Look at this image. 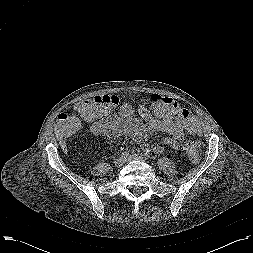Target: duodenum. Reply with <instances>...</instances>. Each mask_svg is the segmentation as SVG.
Here are the masks:
<instances>
[{"mask_svg": "<svg viewBox=\"0 0 253 253\" xmlns=\"http://www.w3.org/2000/svg\"><path fill=\"white\" fill-rule=\"evenodd\" d=\"M103 127H104V130L109 132L111 130H113L114 128L117 127V124L115 122H112V121H107L103 124ZM100 132L102 133L103 130H100Z\"/></svg>", "mask_w": 253, "mask_h": 253, "instance_id": "410a0bca", "label": "duodenum"}]
</instances>
